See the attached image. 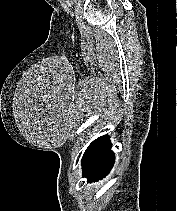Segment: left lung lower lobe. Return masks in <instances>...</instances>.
<instances>
[{
  "label": "left lung lower lobe",
  "instance_id": "0a47b994",
  "mask_svg": "<svg viewBox=\"0 0 178 211\" xmlns=\"http://www.w3.org/2000/svg\"><path fill=\"white\" fill-rule=\"evenodd\" d=\"M114 159L109 137L97 138L88 146L83 155V177H86L89 182L102 179L110 172Z\"/></svg>",
  "mask_w": 178,
  "mask_h": 211
}]
</instances>
